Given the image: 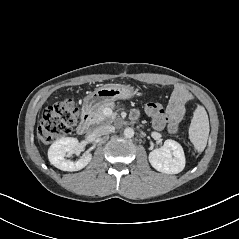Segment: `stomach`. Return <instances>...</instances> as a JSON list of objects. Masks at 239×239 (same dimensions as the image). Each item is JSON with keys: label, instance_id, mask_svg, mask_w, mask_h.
Masks as SVG:
<instances>
[{"label": "stomach", "instance_id": "stomach-1", "mask_svg": "<svg viewBox=\"0 0 239 239\" xmlns=\"http://www.w3.org/2000/svg\"><path fill=\"white\" fill-rule=\"evenodd\" d=\"M137 94V91L130 86L125 85H104L91 92L84 100L83 111L88 114H94L97 109L110 102L119 99H130Z\"/></svg>", "mask_w": 239, "mask_h": 239}]
</instances>
